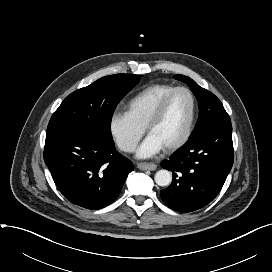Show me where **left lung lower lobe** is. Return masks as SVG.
<instances>
[{"mask_svg": "<svg viewBox=\"0 0 272 272\" xmlns=\"http://www.w3.org/2000/svg\"><path fill=\"white\" fill-rule=\"evenodd\" d=\"M234 160L232 125L215 126L189 137L161 166L172 171L170 186L160 191L171 209L192 212L220 192Z\"/></svg>", "mask_w": 272, "mask_h": 272, "instance_id": "left-lung-lower-lobe-1", "label": "left lung lower lobe"}]
</instances>
